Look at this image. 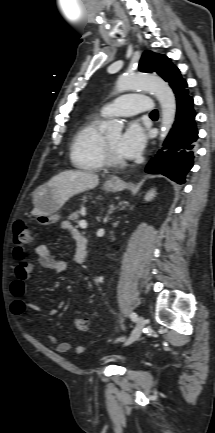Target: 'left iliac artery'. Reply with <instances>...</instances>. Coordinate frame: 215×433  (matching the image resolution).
Here are the masks:
<instances>
[{
	"mask_svg": "<svg viewBox=\"0 0 215 433\" xmlns=\"http://www.w3.org/2000/svg\"><path fill=\"white\" fill-rule=\"evenodd\" d=\"M130 318L133 320V321H136L137 320V314L136 313H134V312H132L131 314H130ZM120 339H118L117 341H119Z\"/></svg>",
	"mask_w": 215,
	"mask_h": 433,
	"instance_id": "1",
	"label": "left iliac artery"
}]
</instances>
